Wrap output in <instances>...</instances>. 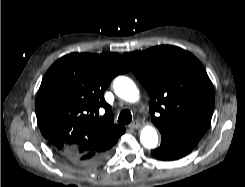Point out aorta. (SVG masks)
Returning a JSON list of instances; mask_svg holds the SVG:
<instances>
[{"mask_svg": "<svg viewBox=\"0 0 245 187\" xmlns=\"http://www.w3.org/2000/svg\"><path fill=\"white\" fill-rule=\"evenodd\" d=\"M113 88L116 95L125 101L134 103L139 99V91L135 83L128 77H117L114 80ZM140 140L145 148H155L158 144V135L156 129L149 125L145 126L141 131Z\"/></svg>", "mask_w": 245, "mask_h": 187, "instance_id": "obj_1", "label": "aorta"}]
</instances>
